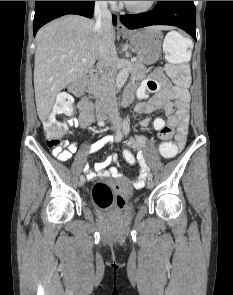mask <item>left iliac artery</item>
Segmentation results:
<instances>
[{"mask_svg": "<svg viewBox=\"0 0 233 295\" xmlns=\"http://www.w3.org/2000/svg\"><path fill=\"white\" fill-rule=\"evenodd\" d=\"M129 131H130V125H129V122L125 119L123 122V132L125 135H127L129 133ZM152 178H153V175L150 173L148 175V179L152 180Z\"/></svg>", "mask_w": 233, "mask_h": 295, "instance_id": "obj_1", "label": "left iliac artery"}]
</instances>
